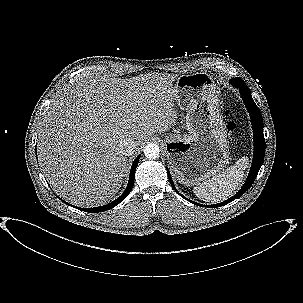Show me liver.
<instances>
[{"label":"liver","instance_id":"1","mask_svg":"<svg viewBox=\"0 0 303 303\" xmlns=\"http://www.w3.org/2000/svg\"><path fill=\"white\" fill-rule=\"evenodd\" d=\"M176 77L98 75L58 94L38 134L39 162L53 190L76 206L110 200L127 170L121 142L131 138L140 146L176 123Z\"/></svg>","mask_w":303,"mask_h":303}]
</instances>
